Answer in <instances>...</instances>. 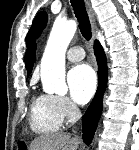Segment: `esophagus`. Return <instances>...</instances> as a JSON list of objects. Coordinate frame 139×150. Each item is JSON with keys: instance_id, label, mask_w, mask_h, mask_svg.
Returning <instances> with one entry per match:
<instances>
[{"instance_id": "obj_1", "label": "esophagus", "mask_w": 139, "mask_h": 150, "mask_svg": "<svg viewBox=\"0 0 139 150\" xmlns=\"http://www.w3.org/2000/svg\"><path fill=\"white\" fill-rule=\"evenodd\" d=\"M85 1V6H86V10L89 16V20L92 26V35H93V39H95V29H96V22H95V17H94V12L92 10L91 4H90V0H84Z\"/></svg>"}]
</instances>
